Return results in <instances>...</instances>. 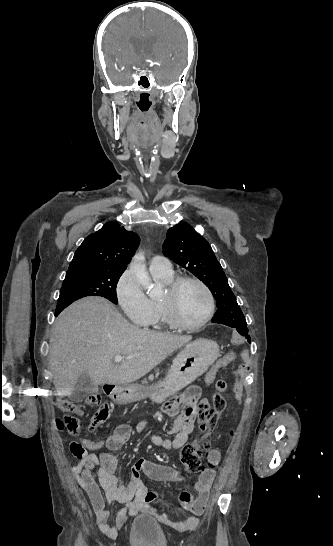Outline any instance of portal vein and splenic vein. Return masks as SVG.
<instances>
[{
	"label": "portal vein and splenic vein",
	"instance_id": "portal-vein-and-splenic-vein-1",
	"mask_svg": "<svg viewBox=\"0 0 333 546\" xmlns=\"http://www.w3.org/2000/svg\"><path fill=\"white\" fill-rule=\"evenodd\" d=\"M129 358H130V357H126V358H125V357H123V356L116 355L115 358H114V361H115L116 363H120V362H122L124 359H129Z\"/></svg>",
	"mask_w": 333,
	"mask_h": 546
}]
</instances>
